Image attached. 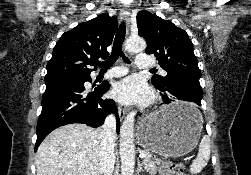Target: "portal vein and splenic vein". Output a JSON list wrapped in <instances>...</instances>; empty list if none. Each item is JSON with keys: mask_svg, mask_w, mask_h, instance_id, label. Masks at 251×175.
Instances as JSON below:
<instances>
[{"mask_svg": "<svg viewBox=\"0 0 251 175\" xmlns=\"http://www.w3.org/2000/svg\"><path fill=\"white\" fill-rule=\"evenodd\" d=\"M147 153H139L140 159H143V157H146ZM164 159H172V161H176V159H179V156H164ZM84 175H87V173H84Z\"/></svg>", "mask_w": 251, "mask_h": 175, "instance_id": "obj_1", "label": "portal vein and splenic vein"}]
</instances>
